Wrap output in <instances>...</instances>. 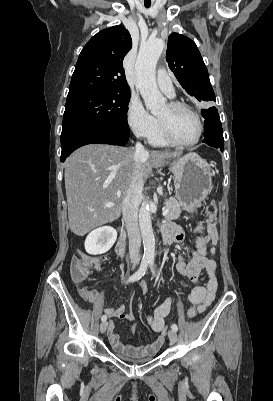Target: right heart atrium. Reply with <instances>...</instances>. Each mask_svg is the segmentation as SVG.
<instances>
[{
  "label": "right heart atrium",
  "instance_id": "d8ad5b80",
  "mask_svg": "<svg viewBox=\"0 0 273 401\" xmlns=\"http://www.w3.org/2000/svg\"><path fill=\"white\" fill-rule=\"evenodd\" d=\"M127 122L134 135L140 139H148L157 125V119L150 114L139 99L130 100Z\"/></svg>",
  "mask_w": 273,
  "mask_h": 401
}]
</instances>
